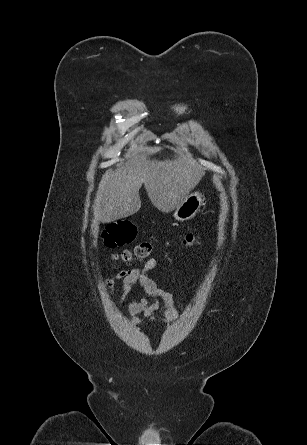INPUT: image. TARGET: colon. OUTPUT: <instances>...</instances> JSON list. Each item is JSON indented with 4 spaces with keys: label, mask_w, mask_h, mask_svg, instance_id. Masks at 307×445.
Masks as SVG:
<instances>
[{
    "label": "colon",
    "mask_w": 307,
    "mask_h": 445,
    "mask_svg": "<svg viewBox=\"0 0 307 445\" xmlns=\"http://www.w3.org/2000/svg\"><path fill=\"white\" fill-rule=\"evenodd\" d=\"M137 233L135 224L129 220H118L106 226L102 232L104 244L116 248L131 243ZM200 243V235L189 233L184 236L183 244L188 248H195ZM152 251L150 243H140L132 249H126L114 255V259L131 264L134 261H146Z\"/></svg>",
    "instance_id": "obj_1"
}]
</instances>
